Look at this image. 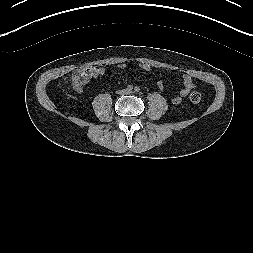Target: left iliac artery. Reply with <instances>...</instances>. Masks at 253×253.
I'll return each instance as SVG.
<instances>
[{
  "label": "left iliac artery",
  "instance_id": "obj_1",
  "mask_svg": "<svg viewBox=\"0 0 253 253\" xmlns=\"http://www.w3.org/2000/svg\"><path fill=\"white\" fill-rule=\"evenodd\" d=\"M134 90H135L136 92H138V91L140 90V88H139L138 86H136V87L134 88Z\"/></svg>",
  "mask_w": 253,
  "mask_h": 253
}]
</instances>
